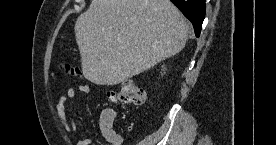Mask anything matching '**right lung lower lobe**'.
<instances>
[{
    "mask_svg": "<svg viewBox=\"0 0 276 145\" xmlns=\"http://www.w3.org/2000/svg\"><path fill=\"white\" fill-rule=\"evenodd\" d=\"M181 12L188 18L193 26L197 37H199L202 23L205 18V0H171Z\"/></svg>",
    "mask_w": 276,
    "mask_h": 145,
    "instance_id": "98d812e1",
    "label": "right lung lower lobe"
}]
</instances>
